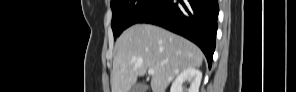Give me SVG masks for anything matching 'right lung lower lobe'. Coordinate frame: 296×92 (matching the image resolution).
Segmentation results:
<instances>
[{
  "label": "right lung lower lobe",
  "mask_w": 296,
  "mask_h": 92,
  "mask_svg": "<svg viewBox=\"0 0 296 92\" xmlns=\"http://www.w3.org/2000/svg\"><path fill=\"white\" fill-rule=\"evenodd\" d=\"M217 0H160L136 23H150L186 37L204 52L211 67L218 18Z\"/></svg>",
  "instance_id": "right-lung-lower-lobe-1"
}]
</instances>
